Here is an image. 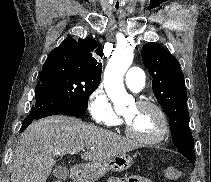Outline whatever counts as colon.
Returning a JSON list of instances; mask_svg holds the SVG:
<instances>
[{"label":"colon","instance_id":"colon-1","mask_svg":"<svg viewBox=\"0 0 211 182\" xmlns=\"http://www.w3.org/2000/svg\"><path fill=\"white\" fill-rule=\"evenodd\" d=\"M164 175L166 178H168L170 180H175V179L179 178L180 172L174 167H168L164 170ZM52 182H63V181L59 180V179H55Z\"/></svg>","mask_w":211,"mask_h":182}]
</instances>
